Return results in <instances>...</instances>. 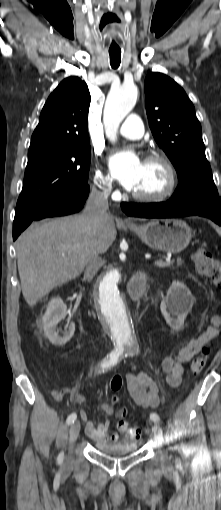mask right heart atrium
<instances>
[{"label":"right heart atrium","instance_id":"d8ad5b80","mask_svg":"<svg viewBox=\"0 0 221 510\" xmlns=\"http://www.w3.org/2000/svg\"><path fill=\"white\" fill-rule=\"evenodd\" d=\"M94 187L103 195L108 196L113 190V178L101 167H97L93 179Z\"/></svg>","mask_w":221,"mask_h":510}]
</instances>
